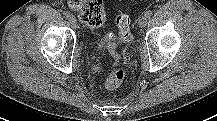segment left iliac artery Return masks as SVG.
Returning a JSON list of instances; mask_svg holds the SVG:
<instances>
[{
	"label": "left iliac artery",
	"mask_w": 217,
	"mask_h": 121,
	"mask_svg": "<svg viewBox=\"0 0 217 121\" xmlns=\"http://www.w3.org/2000/svg\"><path fill=\"white\" fill-rule=\"evenodd\" d=\"M152 11L151 10H148V11H146L145 12V15L148 17V18H150L151 16H152Z\"/></svg>",
	"instance_id": "1"
}]
</instances>
